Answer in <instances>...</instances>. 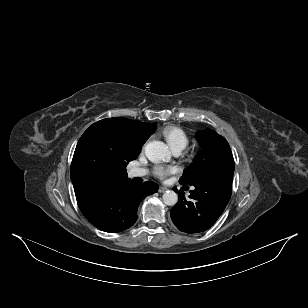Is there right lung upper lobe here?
Returning a JSON list of instances; mask_svg holds the SVG:
<instances>
[{
	"mask_svg": "<svg viewBox=\"0 0 308 308\" xmlns=\"http://www.w3.org/2000/svg\"><path fill=\"white\" fill-rule=\"evenodd\" d=\"M156 123L107 118L92 124L81 136L70 176L77 203L127 180L126 166L137 158Z\"/></svg>",
	"mask_w": 308,
	"mask_h": 308,
	"instance_id": "obj_1",
	"label": "right lung upper lobe"
}]
</instances>
